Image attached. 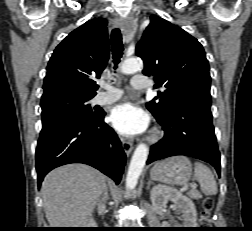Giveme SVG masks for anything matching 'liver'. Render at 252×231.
I'll return each mask as SVG.
<instances>
[{"instance_id": "6515ba94", "label": "liver", "mask_w": 252, "mask_h": 231, "mask_svg": "<svg viewBox=\"0 0 252 231\" xmlns=\"http://www.w3.org/2000/svg\"><path fill=\"white\" fill-rule=\"evenodd\" d=\"M105 186V177L84 164H69L51 171L41 186L50 228L87 226Z\"/></svg>"}]
</instances>
